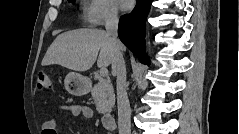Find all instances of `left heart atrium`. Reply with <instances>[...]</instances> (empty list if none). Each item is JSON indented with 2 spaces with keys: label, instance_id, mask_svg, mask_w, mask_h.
Masks as SVG:
<instances>
[{
  "label": "left heart atrium",
  "instance_id": "39dd6f15",
  "mask_svg": "<svg viewBox=\"0 0 239 134\" xmlns=\"http://www.w3.org/2000/svg\"><path fill=\"white\" fill-rule=\"evenodd\" d=\"M119 3H120L121 8L124 10L129 9L131 6V1H129V0H120Z\"/></svg>",
  "mask_w": 239,
  "mask_h": 134
}]
</instances>
